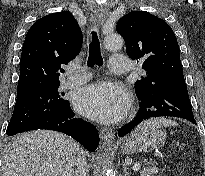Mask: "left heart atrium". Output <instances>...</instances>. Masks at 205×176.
Listing matches in <instances>:
<instances>
[{
    "label": "left heart atrium",
    "instance_id": "1",
    "mask_svg": "<svg viewBox=\"0 0 205 176\" xmlns=\"http://www.w3.org/2000/svg\"><path fill=\"white\" fill-rule=\"evenodd\" d=\"M131 104L129 93L120 85L100 82L81 89L74 101L75 108L92 119L110 123L122 118Z\"/></svg>",
    "mask_w": 205,
    "mask_h": 176
}]
</instances>
